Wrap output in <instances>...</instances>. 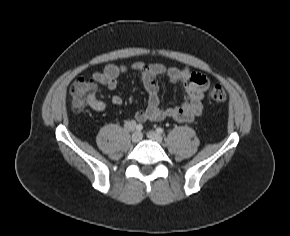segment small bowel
Listing matches in <instances>:
<instances>
[{
	"mask_svg": "<svg viewBox=\"0 0 290 236\" xmlns=\"http://www.w3.org/2000/svg\"><path fill=\"white\" fill-rule=\"evenodd\" d=\"M129 71L137 72L141 76L148 94L147 106L135 114L137 122H145L147 120L161 121L167 118L190 122L202 113L209 80L206 76L192 72L186 67L146 62H135L130 66L108 64L103 70L94 72L91 77L96 83L106 86L110 90H115L118 86L119 76ZM160 76H165L172 84L181 86L185 97L181 106L161 107L157 82V78ZM111 102L114 105H121L123 99L120 95H113ZM90 106L96 111H104L106 109V103L98 98H95Z\"/></svg>",
	"mask_w": 290,
	"mask_h": 236,
	"instance_id": "c3829d8e",
	"label": "small bowel"
}]
</instances>
